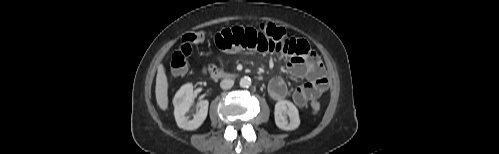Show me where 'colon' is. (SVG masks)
I'll return each mask as SVG.
<instances>
[{
	"instance_id": "5ec220e1",
	"label": "colon",
	"mask_w": 499,
	"mask_h": 154,
	"mask_svg": "<svg viewBox=\"0 0 499 154\" xmlns=\"http://www.w3.org/2000/svg\"><path fill=\"white\" fill-rule=\"evenodd\" d=\"M259 29L269 38L275 41H285L288 39V32L273 23L262 22L259 25ZM203 38L202 33L191 32L182 37L181 44L179 48L172 54L171 57V72L174 75H183L187 72L189 66V58L192 54L193 45L200 42ZM218 70L217 67H213L212 71ZM312 113L317 114L321 110V105L318 101H313L311 103Z\"/></svg>"
}]
</instances>
